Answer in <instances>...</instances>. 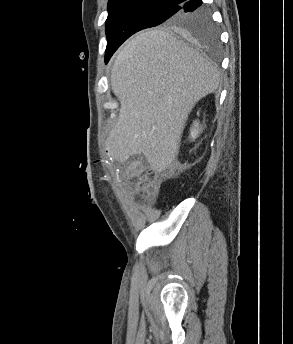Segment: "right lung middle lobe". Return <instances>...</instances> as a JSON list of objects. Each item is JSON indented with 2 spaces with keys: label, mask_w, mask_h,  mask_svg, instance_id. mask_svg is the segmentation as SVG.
Returning a JSON list of instances; mask_svg holds the SVG:
<instances>
[{
  "label": "right lung middle lobe",
  "mask_w": 293,
  "mask_h": 344,
  "mask_svg": "<svg viewBox=\"0 0 293 344\" xmlns=\"http://www.w3.org/2000/svg\"><path fill=\"white\" fill-rule=\"evenodd\" d=\"M178 4L158 1L108 4L106 20L107 47L105 60L132 34L149 27L168 23L187 39L215 49L218 45L217 29L208 11L184 13Z\"/></svg>",
  "instance_id": "1"
}]
</instances>
